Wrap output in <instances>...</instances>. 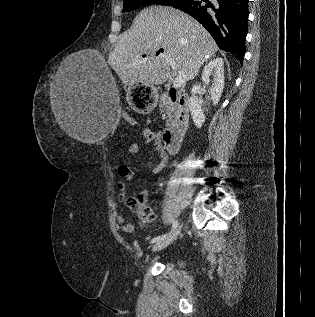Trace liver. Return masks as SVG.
I'll return each mask as SVG.
<instances>
[{"label": "liver", "mask_w": 315, "mask_h": 317, "mask_svg": "<svg viewBox=\"0 0 315 317\" xmlns=\"http://www.w3.org/2000/svg\"><path fill=\"white\" fill-rule=\"evenodd\" d=\"M159 48L164 52L156 57ZM217 50L211 35L188 14L173 7L151 6L143 9L120 37L109 54L108 64L125 86L141 83L152 87L179 72L185 75V80L193 79L205 59L214 56ZM165 56L175 60L177 70H170ZM69 64L70 60L64 61L60 71L67 70ZM109 96L118 104L114 90ZM55 97L51 95V106L61 129L69 137L83 140L80 118L73 113L70 103Z\"/></svg>", "instance_id": "1"}]
</instances>
